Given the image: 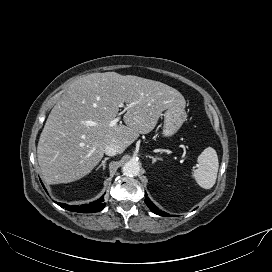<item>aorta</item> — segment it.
<instances>
[{
	"label": "aorta",
	"instance_id": "762f6f07",
	"mask_svg": "<svg viewBox=\"0 0 272 272\" xmlns=\"http://www.w3.org/2000/svg\"><path fill=\"white\" fill-rule=\"evenodd\" d=\"M140 165L135 160H130L122 167V172L125 176L134 177L139 174Z\"/></svg>",
	"mask_w": 272,
	"mask_h": 272
}]
</instances>
